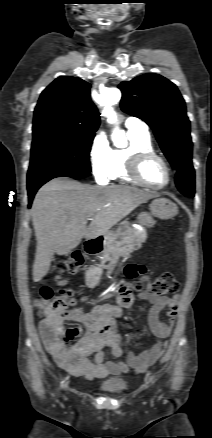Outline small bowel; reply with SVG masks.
I'll return each mask as SVG.
<instances>
[{
  "instance_id": "obj_1",
  "label": "small bowel",
  "mask_w": 212,
  "mask_h": 438,
  "mask_svg": "<svg viewBox=\"0 0 212 438\" xmlns=\"http://www.w3.org/2000/svg\"><path fill=\"white\" fill-rule=\"evenodd\" d=\"M128 278L140 276L139 284L150 280L148 269L144 265L130 264L126 267ZM136 297L152 304L148 312V323L155 343L142 353L136 355L125 347L122 337L117 334V320L129 310L134 301L133 293L123 288L118 296L116 306L103 305L95 307L84 315L78 309L63 308V321H72L84 326L85 332L75 343L67 345L56 327L49 321L43 320L39 331L48 352L59 367L75 377L92 380L103 378L109 374L119 375L130 371L143 372L153 365L163 354L164 340L170 335L175 322L179 295L173 298L156 296L146 292H138ZM167 309L169 323L160 317ZM126 354V361L122 360ZM107 356L113 359L105 361Z\"/></svg>"
}]
</instances>
